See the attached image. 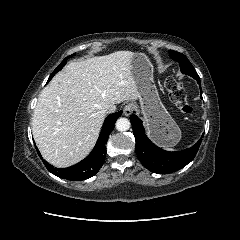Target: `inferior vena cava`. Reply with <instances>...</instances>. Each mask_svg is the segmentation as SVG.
I'll return each instance as SVG.
<instances>
[{
  "label": "inferior vena cava",
  "instance_id": "inferior-vena-cava-1",
  "mask_svg": "<svg viewBox=\"0 0 240 240\" xmlns=\"http://www.w3.org/2000/svg\"><path fill=\"white\" fill-rule=\"evenodd\" d=\"M115 111V109H113V108H104L103 110H102V112L104 113V114H106V113H111V112H114Z\"/></svg>",
  "mask_w": 240,
  "mask_h": 240
}]
</instances>
